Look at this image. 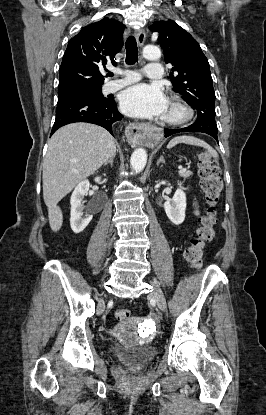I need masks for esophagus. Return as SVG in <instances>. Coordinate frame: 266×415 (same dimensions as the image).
<instances>
[{"label": "esophagus", "mask_w": 266, "mask_h": 415, "mask_svg": "<svg viewBox=\"0 0 266 415\" xmlns=\"http://www.w3.org/2000/svg\"><path fill=\"white\" fill-rule=\"evenodd\" d=\"M146 34L144 29H139L136 32L137 44L139 47H142L145 42ZM146 126L141 123H130L125 130V134L128 142L131 145H140L145 139V130Z\"/></svg>", "instance_id": "esophagus-1"}]
</instances>
